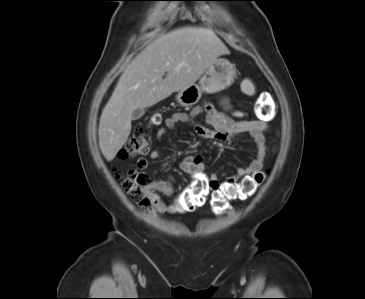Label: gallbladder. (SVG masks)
I'll return each instance as SVG.
<instances>
[{
    "label": "gallbladder",
    "mask_w": 365,
    "mask_h": 299,
    "mask_svg": "<svg viewBox=\"0 0 365 299\" xmlns=\"http://www.w3.org/2000/svg\"><path fill=\"white\" fill-rule=\"evenodd\" d=\"M145 113V109L143 108H137L132 113V120H138L140 119Z\"/></svg>",
    "instance_id": "obj_1"
}]
</instances>
